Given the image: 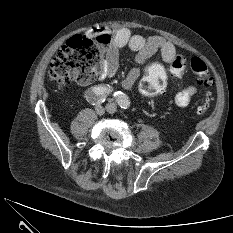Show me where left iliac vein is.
<instances>
[{"mask_svg":"<svg viewBox=\"0 0 233 233\" xmlns=\"http://www.w3.org/2000/svg\"><path fill=\"white\" fill-rule=\"evenodd\" d=\"M106 110H107V112H109L110 114H114V113H116L117 108H116L115 104H113V103H108V104L106 105Z\"/></svg>","mask_w":233,"mask_h":233,"instance_id":"1","label":"left iliac vein"}]
</instances>
